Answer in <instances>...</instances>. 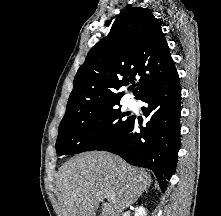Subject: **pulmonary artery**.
Listing matches in <instances>:
<instances>
[{
    "label": "pulmonary artery",
    "instance_id": "obj_1",
    "mask_svg": "<svg viewBox=\"0 0 221 216\" xmlns=\"http://www.w3.org/2000/svg\"><path fill=\"white\" fill-rule=\"evenodd\" d=\"M127 105L129 108H135L136 107V101L133 98H130L127 102Z\"/></svg>",
    "mask_w": 221,
    "mask_h": 216
}]
</instances>
